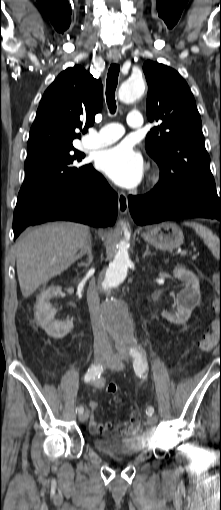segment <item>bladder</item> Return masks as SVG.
Segmentation results:
<instances>
[{"mask_svg": "<svg viewBox=\"0 0 221 510\" xmlns=\"http://www.w3.org/2000/svg\"><path fill=\"white\" fill-rule=\"evenodd\" d=\"M93 445L97 451L113 457H130L146 449V443L140 437L107 436L94 438Z\"/></svg>", "mask_w": 221, "mask_h": 510, "instance_id": "obj_1", "label": "bladder"}]
</instances>
